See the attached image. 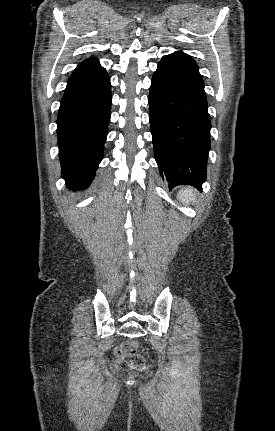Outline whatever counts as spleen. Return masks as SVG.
Instances as JSON below:
<instances>
[{"label":"spleen","mask_w":275,"mask_h":431,"mask_svg":"<svg viewBox=\"0 0 275 431\" xmlns=\"http://www.w3.org/2000/svg\"><path fill=\"white\" fill-rule=\"evenodd\" d=\"M179 200L184 204L194 202L196 198V192L191 187H184L178 193Z\"/></svg>","instance_id":"1"}]
</instances>
